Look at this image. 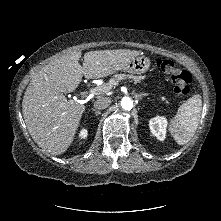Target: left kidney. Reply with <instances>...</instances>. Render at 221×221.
I'll use <instances>...</instances> for the list:
<instances>
[{
  "label": "left kidney",
  "instance_id": "1",
  "mask_svg": "<svg viewBox=\"0 0 221 221\" xmlns=\"http://www.w3.org/2000/svg\"><path fill=\"white\" fill-rule=\"evenodd\" d=\"M167 119L165 117H154L149 121L151 133L160 141L166 138Z\"/></svg>",
  "mask_w": 221,
  "mask_h": 221
}]
</instances>
